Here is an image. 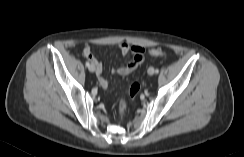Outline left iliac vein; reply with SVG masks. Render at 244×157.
Here are the masks:
<instances>
[{
    "mask_svg": "<svg viewBox=\"0 0 244 157\" xmlns=\"http://www.w3.org/2000/svg\"><path fill=\"white\" fill-rule=\"evenodd\" d=\"M154 73H155L154 68H153V67H150V68L148 69V74H149V75H153Z\"/></svg>",
    "mask_w": 244,
    "mask_h": 157,
    "instance_id": "1",
    "label": "left iliac vein"
}]
</instances>
